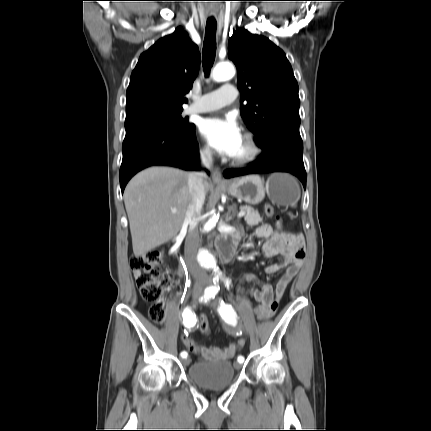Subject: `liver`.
<instances>
[{
  "mask_svg": "<svg viewBox=\"0 0 431 431\" xmlns=\"http://www.w3.org/2000/svg\"><path fill=\"white\" fill-rule=\"evenodd\" d=\"M189 174L170 167H151L128 183L124 203L135 256L170 241L180 231L190 203ZM203 184L208 193L212 185L207 180ZM172 209L177 212L172 213Z\"/></svg>",
  "mask_w": 431,
  "mask_h": 431,
  "instance_id": "1",
  "label": "liver"
}]
</instances>
